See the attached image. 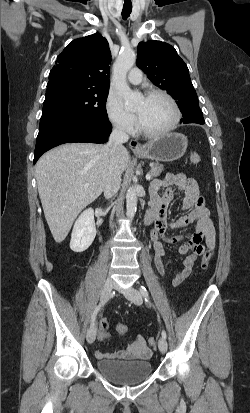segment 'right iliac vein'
<instances>
[{"instance_id": "obj_1", "label": "right iliac vein", "mask_w": 250, "mask_h": 413, "mask_svg": "<svg viewBox=\"0 0 250 413\" xmlns=\"http://www.w3.org/2000/svg\"><path fill=\"white\" fill-rule=\"evenodd\" d=\"M113 288H114V282L110 278H108L105 281L102 292H101V302H105L108 300V298L110 297L112 293ZM86 338H87L88 343L90 344L95 341V338H96L95 323H93L88 329Z\"/></svg>"}]
</instances>
